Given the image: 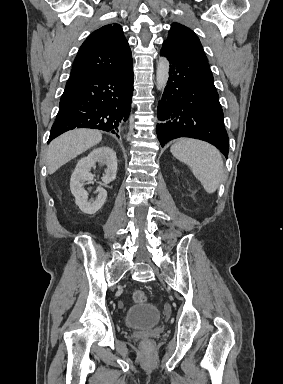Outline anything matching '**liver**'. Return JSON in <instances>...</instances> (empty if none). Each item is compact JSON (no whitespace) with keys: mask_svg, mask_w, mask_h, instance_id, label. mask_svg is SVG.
I'll return each mask as SVG.
<instances>
[{"mask_svg":"<svg viewBox=\"0 0 283 384\" xmlns=\"http://www.w3.org/2000/svg\"><path fill=\"white\" fill-rule=\"evenodd\" d=\"M101 140V132H98V130H86V128L62 134V136L53 140L48 146V174H54L63 164L70 162V160H73L79 154H83L89 148H93Z\"/></svg>","mask_w":283,"mask_h":384,"instance_id":"liver-1","label":"liver"}]
</instances>
